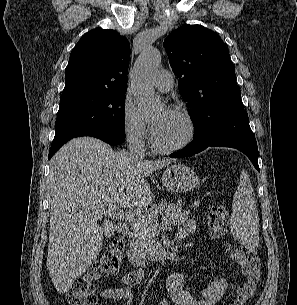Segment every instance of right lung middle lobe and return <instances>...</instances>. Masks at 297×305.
Masks as SVG:
<instances>
[{"instance_id": "obj_1", "label": "right lung middle lobe", "mask_w": 297, "mask_h": 305, "mask_svg": "<svg viewBox=\"0 0 297 305\" xmlns=\"http://www.w3.org/2000/svg\"><path fill=\"white\" fill-rule=\"evenodd\" d=\"M125 93L86 94L60 99L51 147L89 131L124 132Z\"/></svg>"}]
</instances>
